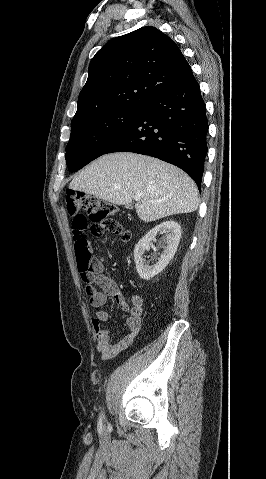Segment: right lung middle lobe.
Returning <instances> with one entry per match:
<instances>
[{"label": "right lung middle lobe", "mask_w": 266, "mask_h": 479, "mask_svg": "<svg viewBox=\"0 0 266 479\" xmlns=\"http://www.w3.org/2000/svg\"><path fill=\"white\" fill-rule=\"evenodd\" d=\"M143 108H121L75 119L66 147V163L76 172L103 155L140 116Z\"/></svg>", "instance_id": "right-lung-middle-lobe-1"}]
</instances>
